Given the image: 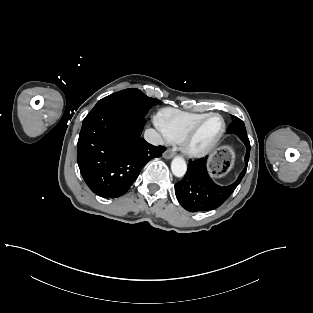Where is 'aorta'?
I'll return each instance as SVG.
<instances>
[{"mask_svg":"<svg viewBox=\"0 0 313 313\" xmlns=\"http://www.w3.org/2000/svg\"><path fill=\"white\" fill-rule=\"evenodd\" d=\"M171 170L174 176L178 178L183 177L187 171L185 160L180 156L175 157L171 163Z\"/></svg>","mask_w":313,"mask_h":313,"instance_id":"aorta-1","label":"aorta"}]
</instances>
